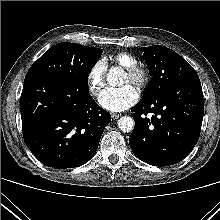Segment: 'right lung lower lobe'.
<instances>
[{
    "label": "right lung lower lobe",
    "mask_w": 220,
    "mask_h": 220,
    "mask_svg": "<svg viewBox=\"0 0 220 220\" xmlns=\"http://www.w3.org/2000/svg\"><path fill=\"white\" fill-rule=\"evenodd\" d=\"M88 83L62 78L24 82L20 109L25 144L44 165L79 167L95 154L111 121L91 97Z\"/></svg>",
    "instance_id": "98d812e1"
}]
</instances>
